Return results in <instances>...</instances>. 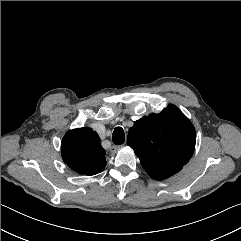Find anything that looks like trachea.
Masks as SVG:
<instances>
[{
  "instance_id": "1",
  "label": "trachea",
  "mask_w": 241,
  "mask_h": 241,
  "mask_svg": "<svg viewBox=\"0 0 241 241\" xmlns=\"http://www.w3.org/2000/svg\"><path fill=\"white\" fill-rule=\"evenodd\" d=\"M112 139L115 145H121L124 143L125 136H124V130L122 129V127H116L114 129Z\"/></svg>"
}]
</instances>
